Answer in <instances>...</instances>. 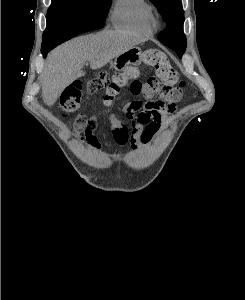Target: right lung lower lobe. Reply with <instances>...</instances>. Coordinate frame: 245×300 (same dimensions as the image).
<instances>
[{"label":"right lung lower lobe","mask_w":245,"mask_h":300,"mask_svg":"<svg viewBox=\"0 0 245 300\" xmlns=\"http://www.w3.org/2000/svg\"><path fill=\"white\" fill-rule=\"evenodd\" d=\"M103 27V22L100 21H90L87 22L86 24L83 25L82 31L83 32H87V31H91V30H96V29H100ZM53 49L52 47H42L41 48V53L43 55V57L45 58L47 56V53Z\"/></svg>","instance_id":"98d812e1"}]
</instances>
